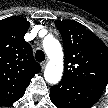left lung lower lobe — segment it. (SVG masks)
Here are the masks:
<instances>
[{
  "label": "left lung lower lobe",
  "instance_id": "obj_1",
  "mask_svg": "<svg viewBox=\"0 0 108 108\" xmlns=\"http://www.w3.org/2000/svg\"><path fill=\"white\" fill-rule=\"evenodd\" d=\"M105 86L62 79L50 88V99L57 108H90L100 98Z\"/></svg>",
  "mask_w": 108,
  "mask_h": 108
}]
</instances>
